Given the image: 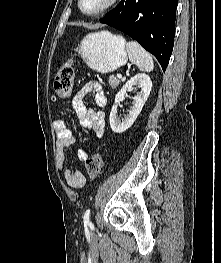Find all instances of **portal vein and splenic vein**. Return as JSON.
I'll return each mask as SVG.
<instances>
[{
  "label": "portal vein and splenic vein",
  "mask_w": 221,
  "mask_h": 263,
  "mask_svg": "<svg viewBox=\"0 0 221 263\" xmlns=\"http://www.w3.org/2000/svg\"><path fill=\"white\" fill-rule=\"evenodd\" d=\"M117 78H118V79H121V78H122V75L118 73V74H117Z\"/></svg>",
  "instance_id": "obj_1"
}]
</instances>
